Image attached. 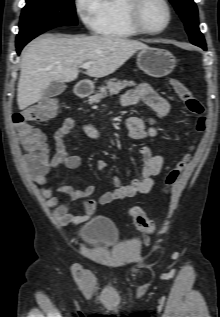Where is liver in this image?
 I'll return each instance as SVG.
<instances>
[{"label":"liver","mask_w":220,"mask_h":317,"mask_svg":"<svg viewBox=\"0 0 220 317\" xmlns=\"http://www.w3.org/2000/svg\"><path fill=\"white\" fill-rule=\"evenodd\" d=\"M148 46L140 41L114 36L61 37L44 35L21 53L17 103L20 110L37 103L51 82H71L83 63L90 77L108 76L137 51Z\"/></svg>","instance_id":"liver-1"}]
</instances>
